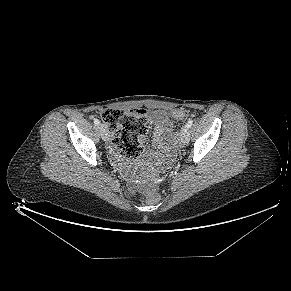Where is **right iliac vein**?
Wrapping results in <instances>:
<instances>
[{"label": "right iliac vein", "mask_w": 291, "mask_h": 291, "mask_svg": "<svg viewBox=\"0 0 291 291\" xmlns=\"http://www.w3.org/2000/svg\"><path fill=\"white\" fill-rule=\"evenodd\" d=\"M101 137L104 141L109 140V133L105 125L101 124L99 126Z\"/></svg>", "instance_id": "1"}]
</instances>
